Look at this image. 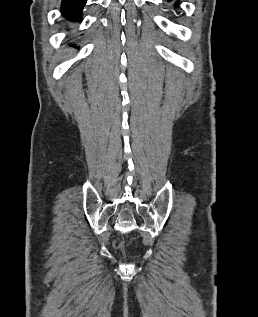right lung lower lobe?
Masks as SVG:
<instances>
[{"mask_svg":"<svg viewBox=\"0 0 258 317\" xmlns=\"http://www.w3.org/2000/svg\"><path fill=\"white\" fill-rule=\"evenodd\" d=\"M87 0H62L61 13L71 22H81V12Z\"/></svg>","mask_w":258,"mask_h":317,"instance_id":"right-lung-lower-lobe-1","label":"right lung lower lobe"}]
</instances>
